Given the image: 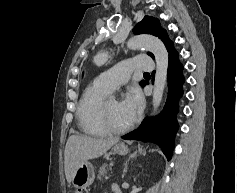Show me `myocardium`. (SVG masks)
I'll use <instances>...</instances> for the list:
<instances>
[{
  "label": "myocardium",
  "mask_w": 237,
  "mask_h": 193,
  "mask_svg": "<svg viewBox=\"0 0 237 193\" xmlns=\"http://www.w3.org/2000/svg\"><path fill=\"white\" fill-rule=\"evenodd\" d=\"M112 100L117 99L113 95H108L101 101L98 112L99 123L102 128L109 134H123L133 127V123H130L129 125L122 128H117L110 124L108 120V105Z\"/></svg>",
  "instance_id": "f54148a6"
}]
</instances>
